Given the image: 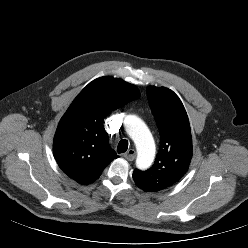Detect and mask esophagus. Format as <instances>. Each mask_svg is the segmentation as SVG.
Segmentation results:
<instances>
[{
    "instance_id": "1",
    "label": "esophagus",
    "mask_w": 248,
    "mask_h": 248,
    "mask_svg": "<svg viewBox=\"0 0 248 248\" xmlns=\"http://www.w3.org/2000/svg\"><path fill=\"white\" fill-rule=\"evenodd\" d=\"M135 157H136V152L134 149H130L124 154V158L127 159L128 161H133Z\"/></svg>"
}]
</instances>
